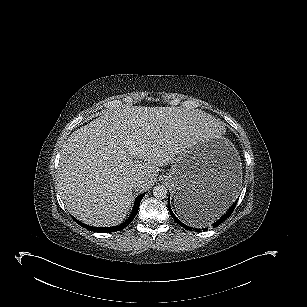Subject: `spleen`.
<instances>
[{
    "label": "spleen",
    "mask_w": 307,
    "mask_h": 307,
    "mask_svg": "<svg viewBox=\"0 0 307 307\" xmlns=\"http://www.w3.org/2000/svg\"><path fill=\"white\" fill-rule=\"evenodd\" d=\"M226 208H209L207 210L201 211L199 214L192 216L190 219H184L192 226H201L204 223L214 221L219 216H221Z\"/></svg>",
    "instance_id": "3e777b00"
}]
</instances>
